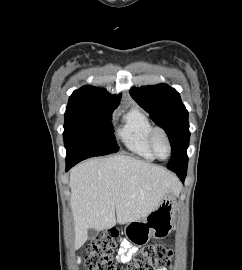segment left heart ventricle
Here are the masks:
<instances>
[{"label":"left heart ventricle","instance_id":"1","mask_svg":"<svg viewBox=\"0 0 242 270\" xmlns=\"http://www.w3.org/2000/svg\"><path fill=\"white\" fill-rule=\"evenodd\" d=\"M155 148L160 157H166L168 155V145L166 140L162 136H158L155 141Z\"/></svg>","mask_w":242,"mask_h":270}]
</instances>
